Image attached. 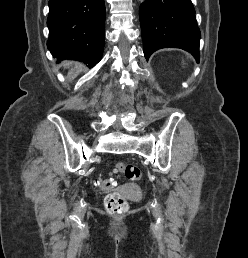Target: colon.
I'll list each match as a JSON object with an SVG mask.
<instances>
[{
  "instance_id": "5ec220e1",
  "label": "colon",
  "mask_w": 248,
  "mask_h": 258,
  "mask_svg": "<svg viewBox=\"0 0 248 258\" xmlns=\"http://www.w3.org/2000/svg\"><path fill=\"white\" fill-rule=\"evenodd\" d=\"M116 176H123L128 182L135 183L142 179L143 173L137 165L118 162L114 166L113 173L98 179L97 184L103 190H112L116 185ZM105 207L110 214L118 215L128 210V202L119 193H111L105 199Z\"/></svg>"
}]
</instances>
